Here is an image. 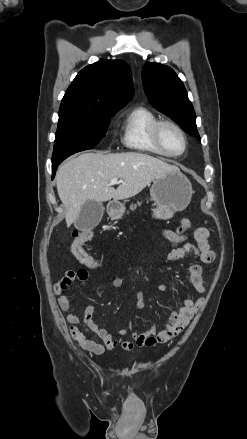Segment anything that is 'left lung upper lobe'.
<instances>
[{
    "label": "left lung upper lobe",
    "mask_w": 247,
    "mask_h": 439,
    "mask_svg": "<svg viewBox=\"0 0 247 439\" xmlns=\"http://www.w3.org/2000/svg\"><path fill=\"white\" fill-rule=\"evenodd\" d=\"M142 81L148 101L154 108L172 118L186 133L200 138L194 108L183 82L173 69L146 62Z\"/></svg>",
    "instance_id": "1"
}]
</instances>
